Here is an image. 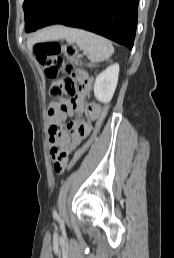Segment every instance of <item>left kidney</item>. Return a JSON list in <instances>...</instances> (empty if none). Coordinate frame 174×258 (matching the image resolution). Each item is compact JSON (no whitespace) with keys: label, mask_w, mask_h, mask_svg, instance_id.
Masks as SVG:
<instances>
[{"label":"left kidney","mask_w":174,"mask_h":258,"mask_svg":"<svg viewBox=\"0 0 174 258\" xmlns=\"http://www.w3.org/2000/svg\"><path fill=\"white\" fill-rule=\"evenodd\" d=\"M119 65L113 64L102 71L95 79L94 95L102 103H109L118 83Z\"/></svg>","instance_id":"left-kidney-1"}]
</instances>
